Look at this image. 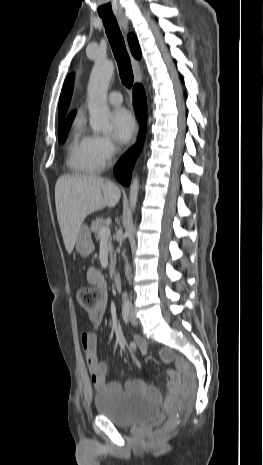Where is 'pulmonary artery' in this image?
I'll return each instance as SVG.
<instances>
[{"instance_id":"obj_1","label":"pulmonary artery","mask_w":263,"mask_h":465,"mask_svg":"<svg viewBox=\"0 0 263 465\" xmlns=\"http://www.w3.org/2000/svg\"><path fill=\"white\" fill-rule=\"evenodd\" d=\"M123 101L122 95L118 91L110 92L108 95V102L112 105H119Z\"/></svg>"}]
</instances>
